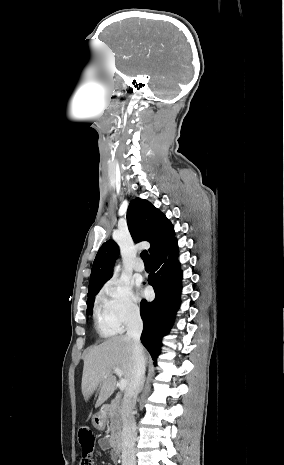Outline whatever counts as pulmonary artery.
<instances>
[{"instance_id":"1","label":"pulmonary artery","mask_w":284,"mask_h":465,"mask_svg":"<svg viewBox=\"0 0 284 465\" xmlns=\"http://www.w3.org/2000/svg\"><path fill=\"white\" fill-rule=\"evenodd\" d=\"M133 269L136 272H142L144 270V263L140 259H138L133 263Z\"/></svg>"}]
</instances>
